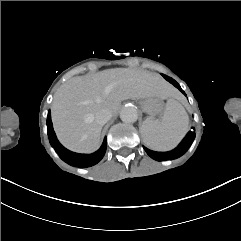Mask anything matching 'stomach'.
Listing matches in <instances>:
<instances>
[{
	"label": "stomach",
	"mask_w": 241,
	"mask_h": 241,
	"mask_svg": "<svg viewBox=\"0 0 241 241\" xmlns=\"http://www.w3.org/2000/svg\"><path fill=\"white\" fill-rule=\"evenodd\" d=\"M140 106L150 119L157 117L163 111V102L159 98H145L140 101Z\"/></svg>",
	"instance_id": "obj_1"
}]
</instances>
